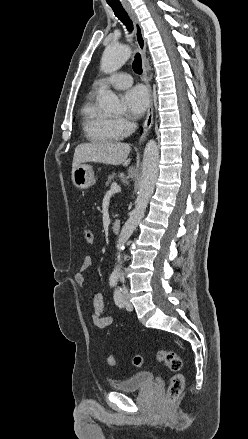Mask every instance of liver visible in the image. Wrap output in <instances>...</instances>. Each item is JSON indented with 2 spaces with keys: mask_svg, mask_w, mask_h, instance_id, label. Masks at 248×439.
I'll list each match as a JSON object with an SVG mask.
<instances>
[{
  "mask_svg": "<svg viewBox=\"0 0 248 439\" xmlns=\"http://www.w3.org/2000/svg\"><path fill=\"white\" fill-rule=\"evenodd\" d=\"M131 146L121 142L82 143L75 148L72 171L85 162L128 166Z\"/></svg>",
  "mask_w": 248,
  "mask_h": 439,
  "instance_id": "liver-1",
  "label": "liver"
}]
</instances>
